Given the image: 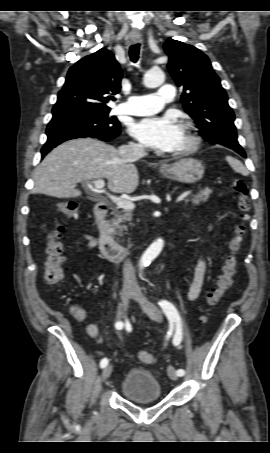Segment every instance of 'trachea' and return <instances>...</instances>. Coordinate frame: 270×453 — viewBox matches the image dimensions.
I'll list each match as a JSON object with an SVG mask.
<instances>
[{
	"instance_id": "1",
	"label": "trachea",
	"mask_w": 270,
	"mask_h": 453,
	"mask_svg": "<svg viewBox=\"0 0 270 453\" xmlns=\"http://www.w3.org/2000/svg\"><path fill=\"white\" fill-rule=\"evenodd\" d=\"M140 44H134L130 46L129 55L132 62L136 63L139 59Z\"/></svg>"
}]
</instances>
